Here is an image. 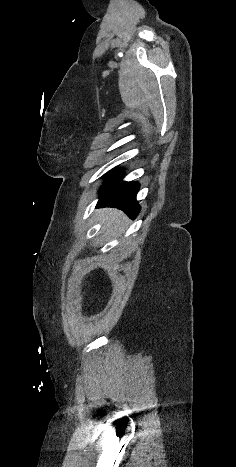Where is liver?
<instances>
[{"instance_id":"1","label":"liver","mask_w":236,"mask_h":467,"mask_svg":"<svg viewBox=\"0 0 236 467\" xmlns=\"http://www.w3.org/2000/svg\"><path fill=\"white\" fill-rule=\"evenodd\" d=\"M101 220L104 222V227L109 229L111 226L120 227L126 220L125 215L116 209H106L100 212Z\"/></svg>"}]
</instances>
